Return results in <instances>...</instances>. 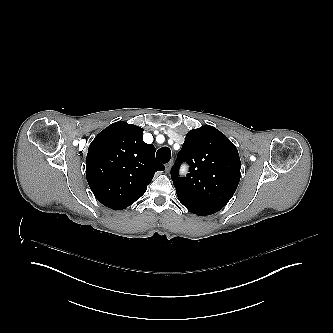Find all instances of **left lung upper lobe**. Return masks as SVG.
Masks as SVG:
<instances>
[{
	"mask_svg": "<svg viewBox=\"0 0 333 333\" xmlns=\"http://www.w3.org/2000/svg\"><path fill=\"white\" fill-rule=\"evenodd\" d=\"M182 162L190 166L183 178L178 176ZM240 167L236 146L215 127L189 131L171 170L179 201L187 209L210 214L221 210L237 189Z\"/></svg>",
	"mask_w": 333,
	"mask_h": 333,
	"instance_id": "5c2ea615",
	"label": "left lung upper lobe"
}]
</instances>
